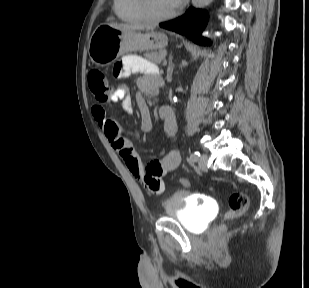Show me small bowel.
<instances>
[{
  "instance_id": "small-bowel-1",
  "label": "small bowel",
  "mask_w": 309,
  "mask_h": 288,
  "mask_svg": "<svg viewBox=\"0 0 309 288\" xmlns=\"http://www.w3.org/2000/svg\"><path fill=\"white\" fill-rule=\"evenodd\" d=\"M113 75L117 78L128 76L132 73H141L137 85L140 91L155 93L162 83L155 66L137 55H126L113 67ZM112 102H121L122 110L131 114L133 103L130 89L123 84L111 93ZM136 104L141 118V129L152 130V120L148 107L143 97L136 96ZM92 114L98 125L103 130L112 148L120 155L129 173L144 185L152 194H161L164 191V177L177 169L181 157L176 149L169 150L161 159L152 160L146 166L141 162L138 152L133 145L131 138L122 134L118 123L106 117L105 109L96 105L92 108ZM159 115L164 122V130L169 137H174L177 132V122L172 108L162 106Z\"/></svg>"
}]
</instances>
